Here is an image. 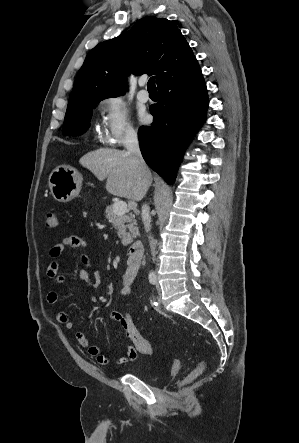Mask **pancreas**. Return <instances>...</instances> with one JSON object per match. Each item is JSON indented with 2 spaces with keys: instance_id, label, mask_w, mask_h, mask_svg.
Masks as SVG:
<instances>
[{
  "instance_id": "cf45deb5",
  "label": "pancreas",
  "mask_w": 299,
  "mask_h": 443,
  "mask_svg": "<svg viewBox=\"0 0 299 443\" xmlns=\"http://www.w3.org/2000/svg\"><path fill=\"white\" fill-rule=\"evenodd\" d=\"M105 213L108 221L116 229L123 245L130 244L139 235L137 222L133 214L117 215L113 211V205L107 206Z\"/></svg>"
}]
</instances>
